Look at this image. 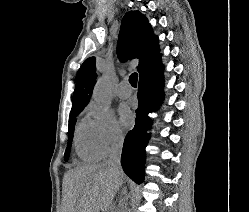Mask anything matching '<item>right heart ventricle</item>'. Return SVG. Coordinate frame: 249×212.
<instances>
[{
    "mask_svg": "<svg viewBox=\"0 0 249 212\" xmlns=\"http://www.w3.org/2000/svg\"><path fill=\"white\" fill-rule=\"evenodd\" d=\"M73 145L77 156L85 161H95L98 159L97 151L92 139L91 123L82 120L75 128Z\"/></svg>",
    "mask_w": 249,
    "mask_h": 212,
    "instance_id": "e07e8e85",
    "label": "right heart ventricle"
}]
</instances>
